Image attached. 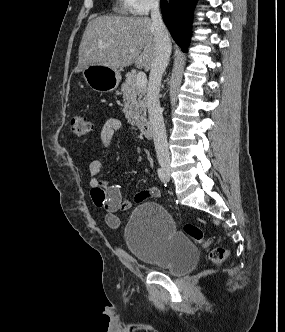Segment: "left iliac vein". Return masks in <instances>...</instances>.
<instances>
[{"label": "left iliac vein", "instance_id": "left-iliac-vein-1", "mask_svg": "<svg viewBox=\"0 0 285 332\" xmlns=\"http://www.w3.org/2000/svg\"><path fill=\"white\" fill-rule=\"evenodd\" d=\"M166 177H167V180H169V172H166Z\"/></svg>", "mask_w": 285, "mask_h": 332}]
</instances>
